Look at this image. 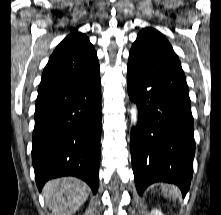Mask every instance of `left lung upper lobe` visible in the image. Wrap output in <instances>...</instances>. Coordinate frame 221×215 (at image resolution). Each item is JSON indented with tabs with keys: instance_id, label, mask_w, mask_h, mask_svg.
Here are the masks:
<instances>
[{
	"instance_id": "left-lung-upper-lobe-1",
	"label": "left lung upper lobe",
	"mask_w": 221,
	"mask_h": 215,
	"mask_svg": "<svg viewBox=\"0 0 221 215\" xmlns=\"http://www.w3.org/2000/svg\"><path fill=\"white\" fill-rule=\"evenodd\" d=\"M130 53L162 56L179 62L176 53L165 36L152 27H146L140 31Z\"/></svg>"
}]
</instances>
